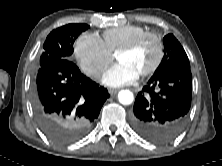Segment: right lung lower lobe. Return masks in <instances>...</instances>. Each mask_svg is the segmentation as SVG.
<instances>
[{
	"label": "right lung lower lobe",
	"instance_id": "obj_1",
	"mask_svg": "<svg viewBox=\"0 0 222 166\" xmlns=\"http://www.w3.org/2000/svg\"><path fill=\"white\" fill-rule=\"evenodd\" d=\"M109 96L69 59H61L39 67L32 106L41 130L54 142L69 144L89 131Z\"/></svg>",
	"mask_w": 222,
	"mask_h": 166
}]
</instances>
